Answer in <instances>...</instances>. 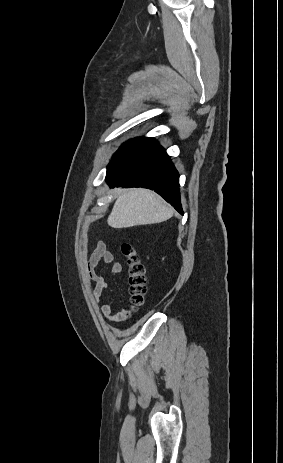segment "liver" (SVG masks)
<instances>
[{"mask_svg": "<svg viewBox=\"0 0 283 463\" xmlns=\"http://www.w3.org/2000/svg\"><path fill=\"white\" fill-rule=\"evenodd\" d=\"M117 200L108 217L113 228L161 223L173 216L172 208L147 189L117 190Z\"/></svg>", "mask_w": 283, "mask_h": 463, "instance_id": "6515ba94", "label": "liver"}]
</instances>
